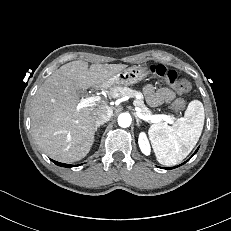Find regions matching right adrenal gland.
I'll list each match as a JSON object with an SVG mask.
<instances>
[{"label":"right adrenal gland","mask_w":231,"mask_h":231,"mask_svg":"<svg viewBox=\"0 0 231 231\" xmlns=\"http://www.w3.org/2000/svg\"><path fill=\"white\" fill-rule=\"evenodd\" d=\"M104 125V123H97L95 126V131L97 132L100 126Z\"/></svg>","instance_id":"obj_1"}]
</instances>
